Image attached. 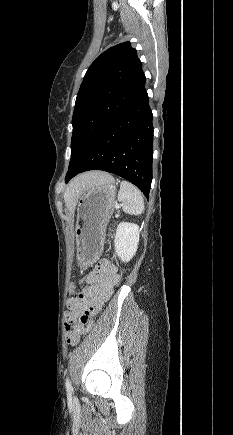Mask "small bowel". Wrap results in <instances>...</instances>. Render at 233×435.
<instances>
[{"label":"small bowel","mask_w":233,"mask_h":435,"mask_svg":"<svg viewBox=\"0 0 233 435\" xmlns=\"http://www.w3.org/2000/svg\"><path fill=\"white\" fill-rule=\"evenodd\" d=\"M87 285L76 297L68 299V312L65 315L66 326L72 328L74 338L86 333L91 319L110 299L114 287L119 282L117 268L108 260H101L86 277ZM71 285L69 289H75Z\"/></svg>","instance_id":"obj_1"}]
</instances>
